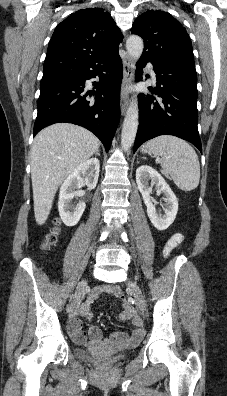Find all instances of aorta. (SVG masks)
<instances>
[{
    "label": "aorta",
    "mask_w": 227,
    "mask_h": 396,
    "mask_svg": "<svg viewBox=\"0 0 227 396\" xmlns=\"http://www.w3.org/2000/svg\"><path fill=\"white\" fill-rule=\"evenodd\" d=\"M143 48V41L137 35H131L126 41V49L128 54L135 61L141 57ZM138 117V102L137 98L134 97L129 104L122 127L121 145L125 151L128 150L134 143L138 128Z\"/></svg>",
    "instance_id": "762f6f07"
}]
</instances>
